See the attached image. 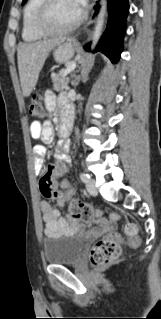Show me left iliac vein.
<instances>
[{"label": "left iliac vein", "instance_id": "1", "mask_svg": "<svg viewBox=\"0 0 161 319\" xmlns=\"http://www.w3.org/2000/svg\"><path fill=\"white\" fill-rule=\"evenodd\" d=\"M86 187H87V191L90 195H92V196L97 195V188L95 186L94 179H90L89 182H87Z\"/></svg>", "mask_w": 161, "mask_h": 319}]
</instances>
